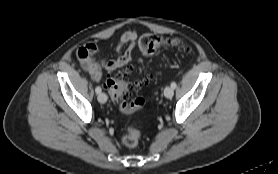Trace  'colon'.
Listing matches in <instances>:
<instances>
[{"instance_id": "5ec220e1", "label": "colon", "mask_w": 278, "mask_h": 174, "mask_svg": "<svg viewBox=\"0 0 278 174\" xmlns=\"http://www.w3.org/2000/svg\"><path fill=\"white\" fill-rule=\"evenodd\" d=\"M138 44L140 50L146 55L155 54L161 47L185 49L183 42L177 38H165L150 33L142 35ZM128 72L129 70L127 69L123 73H113L108 75L105 86L109 91L112 100L123 112L133 113L143 109L145 100L143 98H137L133 101H128V98L146 82L145 80H140L134 83L130 82L127 79ZM138 122L130 125L122 137V142L127 147H134L139 142L140 130L138 128Z\"/></svg>"}]
</instances>
